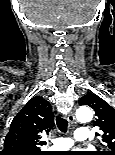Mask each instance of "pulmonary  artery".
Listing matches in <instances>:
<instances>
[{"label": "pulmonary artery", "instance_id": "e3ab8cb5", "mask_svg": "<svg viewBox=\"0 0 115 155\" xmlns=\"http://www.w3.org/2000/svg\"><path fill=\"white\" fill-rule=\"evenodd\" d=\"M90 132L86 127H80L74 132V140L69 137L57 138L54 140V150L63 151L71 148L74 145V141L89 142Z\"/></svg>", "mask_w": 115, "mask_h": 155}]
</instances>
